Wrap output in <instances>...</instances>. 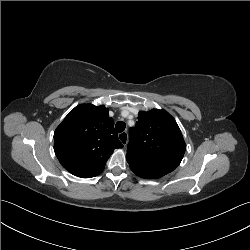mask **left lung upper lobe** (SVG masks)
I'll return each mask as SVG.
<instances>
[{"instance_id": "obj_1", "label": "left lung upper lobe", "mask_w": 250, "mask_h": 250, "mask_svg": "<svg viewBox=\"0 0 250 250\" xmlns=\"http://www.w3.org/2000/svg\"><path fill=\"white\" fill-rule=\"evenodd\" d=\"M130 132L126 159L131 170L144 159H151L153 167L164 174L180 164L186 144L176 121L165 110L140 111L136 126ZM134 173L140 176L139 172Z\"/></svg>"}]
</instances>
